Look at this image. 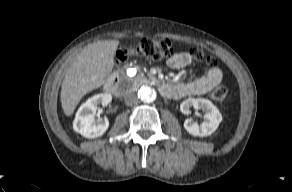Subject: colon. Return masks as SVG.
<instances>
[{"label":"colon","mask_w":292,"mask_h":192,"mask_svg":"<svg viewBox=\"0 0 292 192\" xmlns=\"http://www.w3.org/2000/svg\"><path fill=\"white\" fill-rule=\"evenodd\" d=\"M172 52L170 40L144 38L129 48L121 49L117 54V59L119 62H123L129 57H144L154 61H160L169 57ZM188 53L194 63L204 64L209 67H213L216 64V60L213 57L205 55L200 49L192 48ZM227 93L228 90L221 81L209 91V97L217 103H222L226 100Z\"/></svg>","instance_id":"colon-1"}]
</instances>
